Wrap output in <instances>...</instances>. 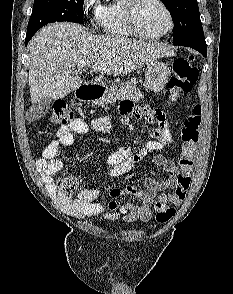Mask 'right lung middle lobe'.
I'll list each match as a JSON object with an SVG mask.
<instances>
[{"instance_id":"1","label":"right lung middle lobe","mask_w":233,"mask_h":294,"mask_svg":"<svg viewBox=\"0 0 233 294\" xmlns=\"http://www.w3.org/2000/svg\"><path fill=\"white\" fill-rule=\"evenodd\" d=\"M84 0H34L27 34L56 21L83 23Z\"/></svg>"}]
</instances>
